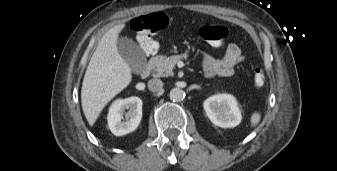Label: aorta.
<instances>
[{
  "mask_svg": "<svg viewBox=\"0 0 337 171\" xmlns=\"http://www.w3.org/2000/svg\"><path fill=\"white\" fill-rule=\"evenodd\" d=\"M169 96H170V99L173 100L174 102H180L184 99L185 93L180 88H173L170 91Z\"/></svg>",
  "mask_w": 337,
  "mask_h": 171,
  "instance_id": "aorta-1",
  "label": "aorta"
}]
</instances>
